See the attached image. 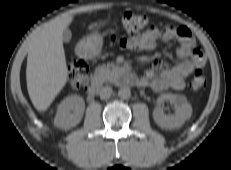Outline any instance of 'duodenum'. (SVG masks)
Segmentation results:
<instances>
[{
	"instance_id": "1",
	"label": "duodenum",
	"mask_w": 231,
	"mask_h": 170,
	"mask_svg": "<svg viewBox=\"0 0 231 170\" xmlns=\"http://www.w3.org/2000/svg\"><path fill=\"white\" fill-rule=\"evenodd\" d=\"M119 82L123 84H138L139 79L133 73V71L125 66H121V70L119 72ZM103 84V79L101 76H94L88 86V96L89 98H94L98 92L100 91Z\"/></svg>"
}]
</instances>
